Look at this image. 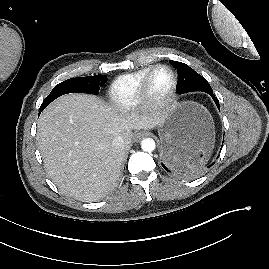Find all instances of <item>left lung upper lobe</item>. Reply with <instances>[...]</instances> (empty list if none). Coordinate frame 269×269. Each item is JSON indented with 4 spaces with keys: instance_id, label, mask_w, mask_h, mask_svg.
<instances>
[{
    "instance_id": "left-lung-upper-lobe-1",
    "label": "left lung upper lobe",
    "mask_w": 269,
    "mask_h": 269,
    "mask_svg": "<svg viewBox=\"0 0 269 269\" xmlns=\"http://www.w3.org/2000/svg\"><path fill=\"white\" fill-rule=\"evenodd\" d=\"M170 64L174 66L178 72V93L183 94L191 91L213 92L206 79L188 65L172 60H170Z\"/></svg>"
}]
</instances>
